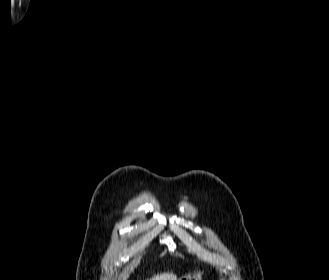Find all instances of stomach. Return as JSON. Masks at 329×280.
<instances>
[{
    "label": "stomach",
    "mask_w": 329,
    "mask_h": 280,
    "mask_svg": "<svg viewBox=\"0 0 329 280\" xmlns=\"http://www.w3.org/2000/svg\"><path fill=\"white\" fill-rule=\"evenodd\" d=\"M179 280H202V273L195 271L182 276Z\"/></svg>",
    "instance_id": "1"
}]
</instances>
